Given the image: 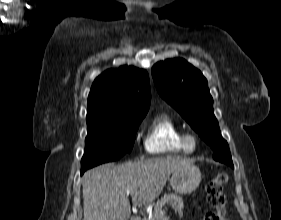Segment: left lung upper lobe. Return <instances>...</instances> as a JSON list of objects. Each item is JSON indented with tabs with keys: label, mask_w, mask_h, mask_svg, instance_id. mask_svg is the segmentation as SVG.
Here are the masks:
<instances>
[{
	"label": "left lung upper lobe",
	"mask_w": 281,
	"mask_h": 220,
	"mask_svg": "<svg viewBox=\"0 0 281 220\" xmlns=\"http://www.w3.org/2000/svg\"><path fill=\"white\" fill-rule=\"evenodd\" d=\"M152 76L161 97L174 107L213 150V158L233 167L227 142L221 136L213 99L202 73L181 58L158 62Z\"/></svg>",
	"instance_id": "5c2ea615"
}]
</instances>
